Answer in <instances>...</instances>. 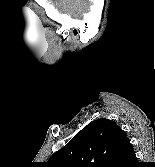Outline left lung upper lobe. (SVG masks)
I'll use <instances>...</instances> for the list:
<instances>
[{
  "instance_id": "left-lung-upper-lobe-1",
  "label": "left lung upper lobe",
  "mask_w": 155,
  "mask_h": 167,
  "mask_svg": "<svg viewBox=\"0 0 155 167\" xmlns=\"http://www.w3.org/2000/svg\"><path fill=\"white\" fill-rule=\"evenodd\" d=\"M126 140L125 132L116 123L97 119L79 131L51 159L55 161V167H110L115 164L121 145ZM98 162L103 165H97Z\"/></svg>"
}]
</instances>
